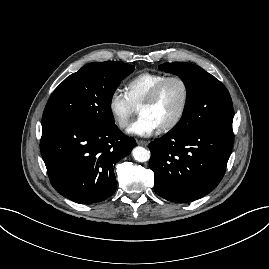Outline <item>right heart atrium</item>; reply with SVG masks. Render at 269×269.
Listing matches in <instances>:
<instances>
[{
	"instance_id": "right-heart-atrium-1",
	"label": "right heart atrium",
	"mask_w": 269,
	"mask_h": 269,
	"mask_svg": "<svg viewBox=\"0 0 269 269\" xmlns=\"http://www.w3.org/2000/svg\"><path fill=\"white\" fill-rule=\"evenodd\" d=\"M108 110L114 123L120 128L128 127L131 117L135 113V107L128 99L125 92L115 89L108 99Z\"/></svg>"
}]
</instances>
